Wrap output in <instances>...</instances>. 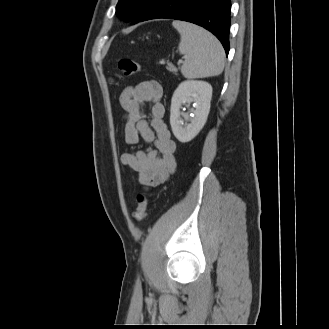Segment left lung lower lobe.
Instances as JSON below:
<instances>
[{"mask_svg":"<svg viewBox=\"0 0 329 329\" xmlns=\"http://www.w3.org/2000/svg\"><path fill=\"white\" fill-rule=\"evenodd\" d=\"M230 9V0H153L133 24L157 18L191 22L213 33L228 55Z\"/></svg>","mask_w":329,"mask_h":329,"instance_id":"obj_1","label":"left lung lower lobe"}]
</instances>
